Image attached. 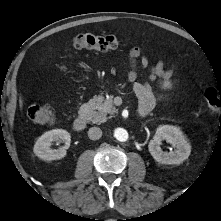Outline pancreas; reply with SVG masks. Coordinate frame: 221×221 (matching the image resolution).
<instances>
[{"mask_svg": "<svg viewBox=\"0 0 221 221\" xmlns=\"http://www.w3.org/2000/svg\"><path fill=\"white\" fill-rule=\"evenodd\" d=\"M89 105L93 109L98 110L97 112H94L89 118V120L93 123L104 122L108 118L107 114L115 115V113H117V109L113 105V100L111 96L108 99H105L103 96L100 95L95 96L89 101Z\"/></svg>", "mask_w": 221, "mask_h": 221, "instance_id": "obj_1", "label": "pancreas"}]
</instances>
